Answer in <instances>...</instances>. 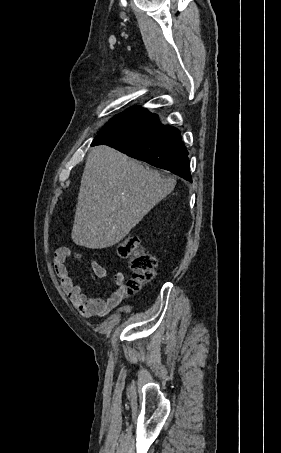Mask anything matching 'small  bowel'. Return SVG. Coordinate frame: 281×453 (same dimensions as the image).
Listing matches in <instances>:
<instances>
[{
    "label": "small bowel",
    "mask_w": 281,
    "mask_h": 453,
    "mask_svg": "<svg viewBox=\"0 0 281 453\" xmlns=\"http://www.w3.org/2000/svg\"><path fill=\"white\" fill-rule=\"evenodd\" d=\"M72 252L68 248L59 249L54 256V266L59 276L62 288L70 295L76 304H79L80 310L86 318H95L107 315L112 309L123 302L127 295V286L125 283L126 275L123 271H117L114 274L116 289L107 299L90 298L87 300L80 285L75 284L69 276L68 260ZM93 275L99 279L108 277V271L96 260L90 262ZM86 301L85 305L82 303Z\"/></svg>",
    "instance_id": "c3829d8e"
}]
</instances>
